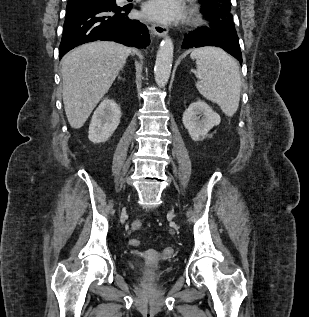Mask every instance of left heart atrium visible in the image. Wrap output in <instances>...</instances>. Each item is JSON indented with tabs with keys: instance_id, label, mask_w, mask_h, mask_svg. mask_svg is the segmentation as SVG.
Listing matches in <instances>:
<instances>
[{
	"instance_id": "39dd6f15",
	"label": "left heart atrium",
	"mask_w": 309,
	"mask_h": 317,
	"mask_svg": "<svg viewBox=\"0 0 309 317\" xmlns=\"http://www.w3.org/2000/svg\"><path fill=\"white\" fill-rule=\"evenodd\" d=\"M181 0H150L143 8V15L160 22H175L184 17Z\"/></svg>"
}]
</instances>
